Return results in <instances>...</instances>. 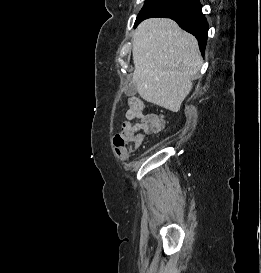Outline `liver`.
Wrapping results in <instances>:
<instances>
[{
	"label": "liver",
	"mask_w": 261,
	"mask_h": 273,
	"mask_svg": "<svg viewBox=\"0 0 261 273\" xmlns=\"http://www.w3.org/2000/svg\"><path fill=\"white\" fill-rule=\"evenodd\" d=\"M132 55L140 97L178 112L203 63L196 38L171 19L149 18L134 32Z\"/></svg>",
	"instance_id": "6515ba94"
}]
</instances>
